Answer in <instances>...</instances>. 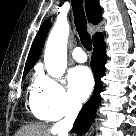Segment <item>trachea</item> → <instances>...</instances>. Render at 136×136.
Segmentation results:
<instances>
[{"instance_id":"trachea-1","label":"trachea","mask_w":136,"mask_h":136,"mask_svg":"<svg viewBox=\"0 0 136 136\" xmlns=\"http://www.w3.org/2000/svg\"><path fill=\"white\" fill-rule=\"evenodd\" d=\"M74 15L75 26L80 36L83 46L88 50H92L91 36L87 32V21L83 8L82 0H71Z\"/></svg>"}]
</instances>
